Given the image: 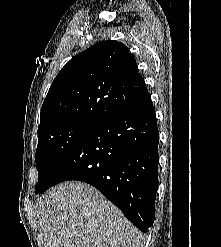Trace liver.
Segmentation results:
<instances>
[{
  "mask_svg": "<svg viewBox=\"0 0 221 247\" xmlns=\"http://www.w3.org/2000/svg\"><path fill=\"white\" fill-rule=\"evenodd\" d=\"M45 247H139L136 228L94 187L61 183L36 203Z\"/></svg>",
  "mask_w": 221,
  "mask_h": 247,
  "instance_id": "liver-1",
  "label": "liver"
}]
</instances>
